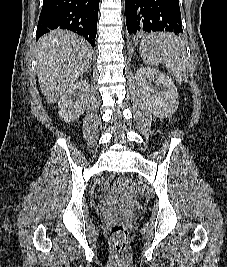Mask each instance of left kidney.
Returning <instances> with one entry per match:
<instances>
[{
  "mask_svg": "<svg viewBox=\"0 0 227 267\" xmlns=\"http://www.w3.org/2000/svg\"><path fill=\"white\" fill-rule=\"evenodd\" d=\"M138 89L150 112L167 118L177 111L178 92L171 78L156 69L141 68L136 72Z\"/></svg>",
  "mask_w": 227,
  "mask_h": 267,
  "instance_id": "obj_1",
  "label": "left kidney"
}]
</instances>
